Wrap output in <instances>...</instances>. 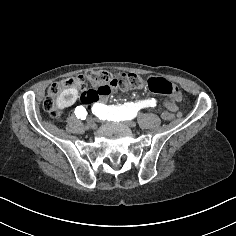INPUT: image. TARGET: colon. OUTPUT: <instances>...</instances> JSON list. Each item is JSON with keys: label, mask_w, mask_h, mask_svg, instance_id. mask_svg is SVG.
Masks as SVG:
<instances>
[{"label": "colon", "mask_w": 236, "mask_h": 236, "mask_svg": "<svg viewBox=\"0 0 236 236\" xmlns=\"http://www.w3.org/2000/svg\"><path fill=\"white\" fill-rule=\"evenodd\" d=\"M143 85V79L134 73H123L117 76L106 71L94 70L84 74L53 83L43 102V108L52 117L57 118L60 111L56 107V98L65 88L75 87L81 89L80 98L85 104H92L101 97L107 96L112 89L126 90L129 88H139ZM148 89L156 94L170 96L173 100L179 99V91L169 81L151 77L147 80ZM164 120H173L174 114L169 111L162 113Z\"/></svg>", "instance_id": "colon-1"}]
</instances>
